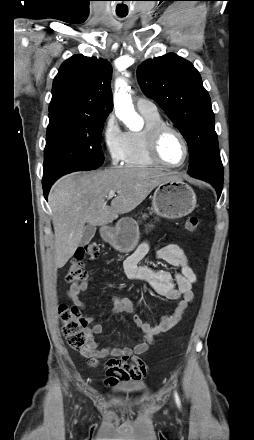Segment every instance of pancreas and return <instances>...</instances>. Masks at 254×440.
<instances>
[{
    "instance_id": "cf45deb5",
    "label": "pancreas",
    "mask_w": 254,
    "mask_h": 440,
    "mask_svg": "<svg viewBox=\"0 0 254 440\" xmlns=\"http://www.w3.org/2000/svg\"><path fill=\"white\" fill-rule=\"evenodd\" d=\"M146 217H148L146 214L143 215V218L145 219Z\"/></svg>"
}]
</instances>
